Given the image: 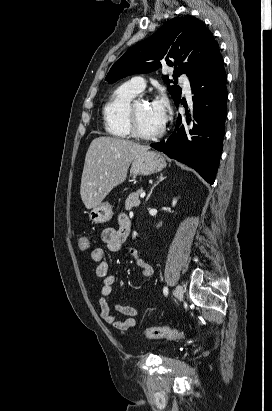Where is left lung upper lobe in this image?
<instances>
[{
	"mask_svg": "<svg viewBox=\"0 0 272 411\" xmlns=\"http://www.w3.org/2000/svg\"><path fill=\"white\" fill-rule=\"evenodd\" d=\"M212 33L199 19L185 15L165 23L151 37L129 48L111 67L105 80L114 83L135 73L157 70L162 63L174 66V76L185 73L193 80L218 50ZM176 103L181 98V88L168 76H162Z\"/></svg>",
	"mask_w": 272,
	"mask_h": 411,
	"instance_id": "1",
	"label": "left lung upper lobe"
}]
</instances>
